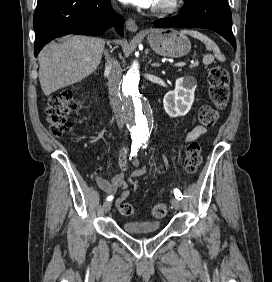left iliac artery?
I'll list each match as a JSON object with an SVG mask.
<instances>
[{
    "label": "left iliac artery",
    "instance_id": "obj_1",
    "mask_svg": "<svg viewBox=\"0 0 272 282\" xmlns=\"http://www.w3.org/2000/svg\"><path fill=\"white\" fill-rule=\"evenodd\" d=\"M143 143V147H147V145L145 144V141H142ZM142 145V144H141ZM174 195L176 197V199L181 200L183 198L182 193L178 190V189H174Z\"/></svg>",
    "mask_w": 272,
    "mask_h": 282
}]
</instances>
